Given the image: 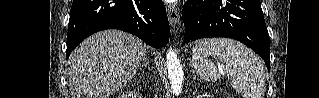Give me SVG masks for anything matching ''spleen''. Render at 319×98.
I'll list each match as a JSON object with an SVG mask.
<instances>
[{"label": "spleen", "mask_w": 319, "mask_h": 98, "mask_svg": "<svg viewBox=\"0 0 319 98\" xmlns=\"http://www.w3.org/2000/svg\"><path fill=\"white\" fill-rule=\"evenodd\" d=\"M210 57L221 62L218 69ZM192 65L206 81H217L222 70L228 74L232 87L244 98H264L266 86L263 62L237 41L226 38L200 40L192 51Z\"/></svg>", "instance_id": "spleen-1"}]
</instances>
